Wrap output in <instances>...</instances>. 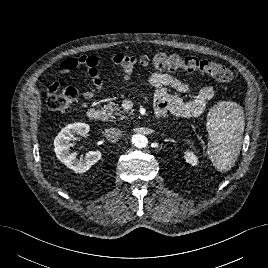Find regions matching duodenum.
Returning <instances> with one entry per match:
<instances>
[{
	"label": "duodenum",
	"instance_id": "duodenum-1",
	"mask_svg": "<svg viewBox=\"0 0 268 268\" xmlns=\"http://www.w3.org/2000/svg\"><path fill=\"white\" fill-rule=\"evenodd\" d=\"M88 115L91 119L96 120V121H101L105 117V114L102 110L94 109V108H91L89 110Z\"/></svg>",
	"mask_w": 268,
	"mask_h": 268
}]
</instances>
